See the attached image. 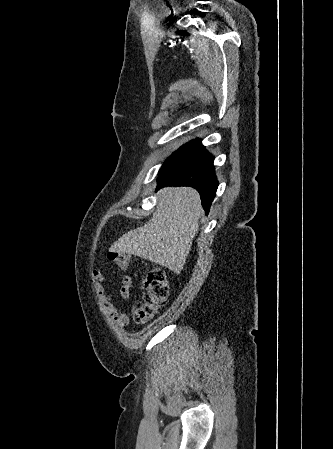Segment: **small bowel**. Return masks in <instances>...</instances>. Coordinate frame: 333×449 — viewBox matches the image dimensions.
Instances as JSON below:
<instances>
[{
	"instance_id": "c3829d8e",
	"label": "small bowel",
	"mask_w": 333,
	"mask_h": 449,
	"mask_svg": "<svg viewBox=\"0 0 333 449\" xmlns=\"http://www.w3.org/2000/svg\"><path fill=\"white\" fill-rule=\"evenodd\" d=\"M121 277V287L119 290L120 298L125 301L130 297L131 288H132V279L130 276L125 274H120ZM94 286L101 302L104 310L110 315V317L119 325L121 328H124L129 321L127 314L123 312H118L112 302L111 295L107 294L104 287L103 282L105 281L104 274L97 270L93 273Z\"/></svg>"
}]
</instances>
